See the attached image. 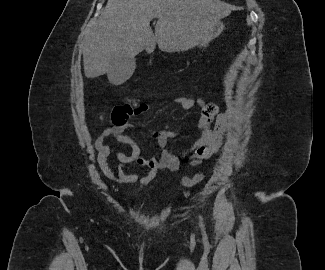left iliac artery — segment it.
I'll list each match as a JSON object with an SVG mask.
<instances>
[{
    "label": "left iliac artery",
    "instance_id": "1",
    "mask_svg": "<svg viewBox=\"0 0 325 270\" xmlns=\"http://www.w3.org/2000/svg\"><path fill=\"white\" fill-rule=\"evenodd\" d=\"M199 225L201 227V230L205 233V227H204V224H203V221H202V217L199 216Z\"/></svg>",
    "mask_w": 325,
    "mask_h": 270
}]
</instances>
